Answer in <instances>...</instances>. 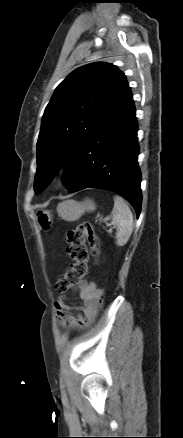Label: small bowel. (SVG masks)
I'll use <instances>...</instances> for the list:
<instances>
[{"mask_svg":"<svg viewBox=\"0 0 183 438\" xmlns=\"http://www.w3.org/2000/svg\"><path fill=\"white\" fill-rule=\"evenodd\" d=\"M74 290L78 293L81 305H70L61 296L55 302L56 317L62 326L68 324L72 329H84L96 319L103 302V292L89 281H82Z\"/></svg>","mask_w":183,"mask_h":438,"instance_id":"1","label":"small bowel"}]
</instances>
